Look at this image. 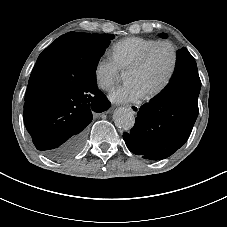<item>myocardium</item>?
<instances>
[{
  "label": "myocardium",
  "instance_id": "f54148a6",
  "mask_svg": "<svg viewBox=\"0 0 227 227\" xmlns=\"http://www.w3.org/2000/svg\"><path fill=\"white\" fill-rule=\"evenodd\" d=\"M159 46H166L171 51V64L169 67V70L167 72V75L163 82L154 89L151 93L147 95L148 99H153L160 95L162 92L165 91V89L170 84L176 68L178 64V51L177 47L168 40H160L156 41L154 44H152L145 53L136 61V63L129 69V72H138L141 71L148 63L149 59L151 58L153 52L158 48Z\"/></svg>",
  "mask_w": 227,
  "mask_h": 227
}]
</instances>
